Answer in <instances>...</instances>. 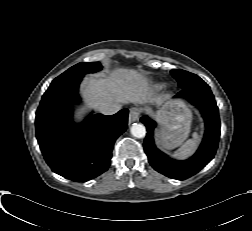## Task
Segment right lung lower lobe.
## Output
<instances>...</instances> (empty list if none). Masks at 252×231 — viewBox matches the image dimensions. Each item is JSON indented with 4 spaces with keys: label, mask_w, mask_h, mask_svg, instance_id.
<instances>
[{
    "label": "right lung lower lobe",
    "mask_w": 252,
    "mask_h": 231,
    "mask_svg": "<svg viewBox=\"0 0 252 231\" xmlns=\"http://www.w3.org/2000/svg\"><path fill=\"white\" fill-rule=\"evenodd\" d=\"M76 79L44 93L36 112V137L51 169L70 180L85 182L105 172L115 140L125 132L128 110L112 116L90 114L83 123L72 121L71 105L79 101Z\"/></svg>",
    "instance_id": "98d812e1"
}]
</instances>
